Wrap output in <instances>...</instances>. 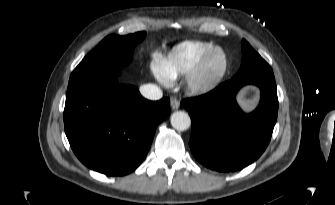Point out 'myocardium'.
Listing matches in <instances>:
<instances>
[{"mask_svg": "<svg viewBox=\"0 0 335 205\" xmlns=\"http://www.w3.org/2000/svg\"><path fill=\"white\" fill-rule=\"evenodd\" d=\"M220 55L222 66L220 70L212 75H207V70L212 59ZM229 68V58L226 51L220 47H215L207 52L188 74L187 85L189 90L197 95H204L213 91L223 80Z\"/></svg>", "mask_w": 335, "mask_h": 205, "instance_id": "obj_1", "label": "myocardium"}]
</instances>
